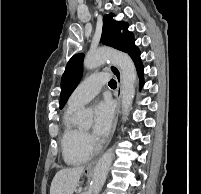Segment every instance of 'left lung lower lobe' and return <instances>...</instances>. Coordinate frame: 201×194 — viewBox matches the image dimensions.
Returning <instances> with one entry per match:
<instances>
[{"mask_svg": "<svg viewBox=\"0 0 201 194\" xmlns=\"http://www.w3.org/2000/svg\"><path fill=\"white\" fill-rule=\"evenodd\" d=\"M129 55L133 59L135 65L137 66V72L140 77V83H143V73H144V68L140 59V51L139 49L135 46L130 52Z\"/></svg>", "mask_w": 201, "mask_h": 194, "instance_id": "0a47b994", "label": "left lung lower lobe"}]
</instances>
